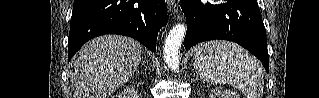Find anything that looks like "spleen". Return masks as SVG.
<instances>
[{"mask_svg":"<svg viewBox=\"0 0 319 98\" xmlns=\"http://www.w3.org/2000/svg\"><path fill=\"white\" fill-rule=\"evenodd\" d=\"M197 74L210 84H231L246 98H261L264 82L260 63L232 42L210 41L193 58Z\"/></svg>","mask_w":319,"mask_h":98,"instance_id":"1","label":"spleen"}]
</instances>
